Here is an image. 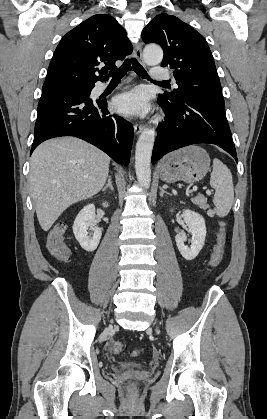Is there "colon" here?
<instances>
[{
    "mask_svg": "<svg viewBox=\"0 0 267 419\" xmlns=\"http://www.w3.org/2000/svg\"><path fill=\"white\" fill-rule=\"evenodd\" d=\"M65 230L66 227L64 224H57L49 232L47 237V248L49 252L53 257L60 261H66L70 256V250L64 239ZM225 241L226 227L224 223H221L217 232L216 243L209 260L210 269H214L220 264L224 253ZM112 351L116 354H120L123 351V344L120 341H115L112 344Z\"/></svg>",
    "mask_w": 267,
    "mask_h": 419,
    "instance_id": "5ec220e1",
    "label": "colon"
}]
</instances>
